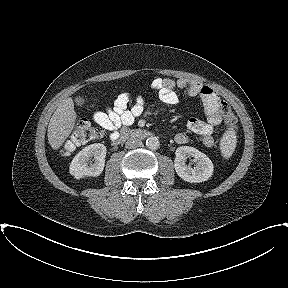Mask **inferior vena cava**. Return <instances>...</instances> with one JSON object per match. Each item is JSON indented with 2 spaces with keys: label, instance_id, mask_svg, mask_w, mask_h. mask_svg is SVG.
Wrapping results in <instances>:
<instances>
[{
  "label": "inferior vena cava",
  "instance_id": "obj_1",
  "mask_svg": "<svg viewBox=\"0 0 288 288\" xmlns=\"http://www.w3.org/2000/svg\"><path fill=\"white\" fill-rule=\"evenodd\" d=\"M141 145L142 141L139 138H129L125 143V147L128 149H134L140 147Z\"/></svg>",
  "mask_w": 288,
  "mask_h": 288
}]
</instances>
